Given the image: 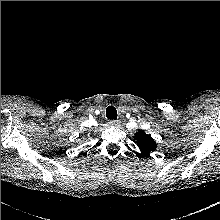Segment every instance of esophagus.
<instances>
[{"label":"esophagus","instance_id":"esophagus-1","mask_svg":"<svg viewBox=\"0 0 220 220\" xmlns=\"http://www.w3.org/2000/svg\"><path fill=\"white\" fill-rule=\"evenodd\" d=\"M108 123L110 126L117 127V126H120L121 122H120V120H110Z\"/></svg>","mask_w":220,"mask_h":220}]
</instances>
